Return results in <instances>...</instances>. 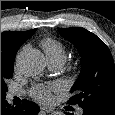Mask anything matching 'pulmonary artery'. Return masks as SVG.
<instances>
[{"mask_svg": "<svg viewBox=\"0 0 115 115\" xmlns=\"http://www.w3.org/2000/svg\"><path fill=\"white\" fill-rule=\"evenodd\" d=\"M48 63L51 69L58 71L63 67L64 62L60 59L48 60ZM21 92L17 89H12L8 93L9 98H13L14 96H19Z\"/></svg>", "mask_w": 115, "mask_h": 115, "instance_id": "1", "label": "pulmonary artery"}]
</instances>
